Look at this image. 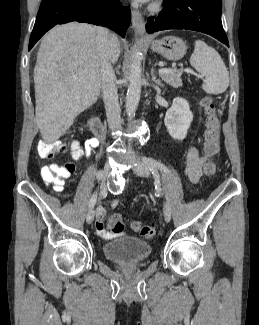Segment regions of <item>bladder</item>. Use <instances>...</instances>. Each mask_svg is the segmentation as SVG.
<instances>
[{"label":"bladder","mask_w":259,"mask_h":325,"mask_svg":"<svg viewBox=\"0 0 259 325\" xmlns=\"http://www.w3.org/2000/svg\"><path fill=\"white\" fill-rule=\"evenodd\" d=\"M107 259L117 263H138L150 255L152 248L137 237L123 236L107 242L103 246Z\"/></svg>","instance_id":"1"}]
</instances>
